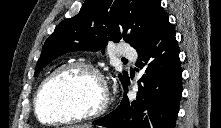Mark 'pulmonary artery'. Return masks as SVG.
Wrapping results in <instances>:
<instances>
[{
	"mask_svg": "<svg viewBox=\"0 0 221 128\" xmlns=\"http://www.w3.org/2000/svg\"><path fill=\"white\" fill-rule=\"evenodd\" d=\"M117 52L119 56L132 58L134 61L137 59L136 52L133 49L126 47L125 45H118Z\"/></svg>",
	"mask_w": 221,
	"mask_h": 128,
	"instance_id": "obj_1",
	"label": "pulmonary artery"
}]
</instances>
